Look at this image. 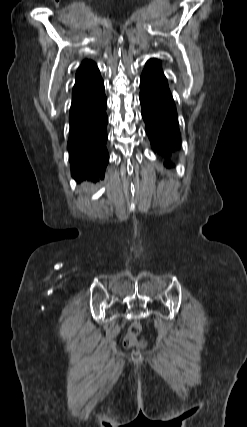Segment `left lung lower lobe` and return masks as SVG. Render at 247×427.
<instances>
[{
  "label": "left lung lower lobe",
  "instance_id": "left-lung-lower-lobe-1",
  "mask_svg": "<svg viewBox=\"0 0 247 427\" xmlns=\"http://www.w3.org/2000/svg\"><path fill=\"white\" fill-rule=\"evenodd\" d=\"M140 103L145 130L155 153L169 157L181 146L178 117L167 79L157 59H150L140 78Z\"/></svg>",
  "mask_w": 247,
  "mask_h": 427
}]
</instances>
